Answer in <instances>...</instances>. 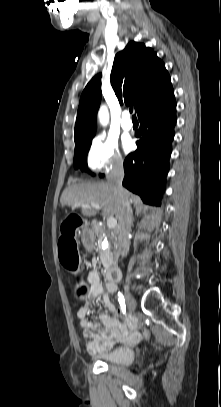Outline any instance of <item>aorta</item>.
<instances>
[{
    "label": "aorta",
    "mask_w": 221,
    "mask_h": 407,
    "mask_svg": "<svg viewBox=\"0 0 221 407\" xmlns=\"http://www.w3.org/2000/svg\"><path fill=\"white\" fill-rule=\"evenodd\" d=\"M98 118H99L102 125H106L108 123L109 115H108V110H107V108L105 106H102L100 108Z\"/></svg>",
    "instance_id": "obj_1"
}]
</instances>
